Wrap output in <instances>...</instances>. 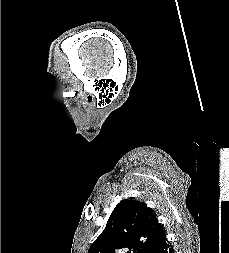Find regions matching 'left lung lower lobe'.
Returning <instances> with one entry per match:
<instances>
[{
	"label": "left lung lower lobe",
	"instance_id": "0a47b994",
	"mask_svg": "<svg viewBox=\"0 0 229 253\" xmlns=\"http://www.w3.org/2000/svg\"><path fill=\"white\" fill-rule=\"evenodd\" d=\"M173 247L165 237L155 249L154 253H173Z\"/></svg>",
	"mask_w": 229,
	"mask_h": 253
}]
</instances>
